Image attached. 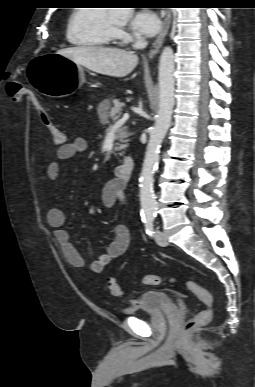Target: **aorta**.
Here are the masks:
<instances>
[{"instance_id":"1","label":"aorta","mask_w":255,"mask_h":387,"mask_svg":"<svg viewBox=\"0 0 255 387\" xmlns=\"http://www.w3.org/2000/svg\"><path fill=\"white\" fill-rule=\"evenodd\" d=\"M110 14L125 22L133 14L132 8H109ZM175 62L173 49L165 47L159 59V106L154 127L150 131L142 172L140 175L141 212L145 218L154 217L157 210L156 197L153 190L154 173L159 162L161 143L170 127L173 107L175 104Z\"/></svg>"}]
</instances>
